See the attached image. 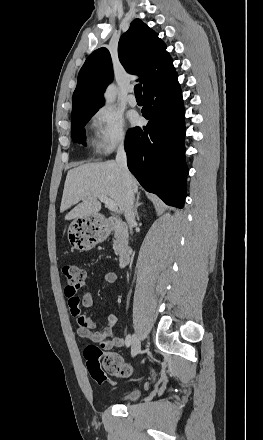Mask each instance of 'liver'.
Segmentation results:
<instances>
[{"label":"liver","instance_id":"liver-1","mask_svg":"<svg viewBox=\"0 0 263 440\" xmlns=\"http://www.w3.org/2000/svg\"><path fill=\"white\" fill-rule=\"evenodd\" d=\"M131 187L138 193V182L132 175ZM123 194V179L115 161L82 164L67 173L60 212L77 204L65 215V220L94 216L101 209L98 195L109 197L124 211Z\"/></svg>","mask_w":263,"mask_h":440}]
</instances>
